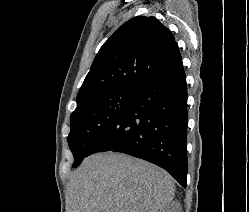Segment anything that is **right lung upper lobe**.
Here are the masks:
<instances>
[{
	"label": "right lung upper lobe",
	"mask_w": 249,
	"mask_h": 212,
	"mask_svg": "<svg viewBox=\"0 0 249 212\" xmlns=\"http://www.w3.org/2000/svg\"><path fill=\"white\" fill-rule=\"evenodd\" d=\"M181 64L171 31L155 17H134L99 50L78 92L77 105L110 92H138Z\"/></svg>",
	"instance_id": "1"
}]
</instances>
